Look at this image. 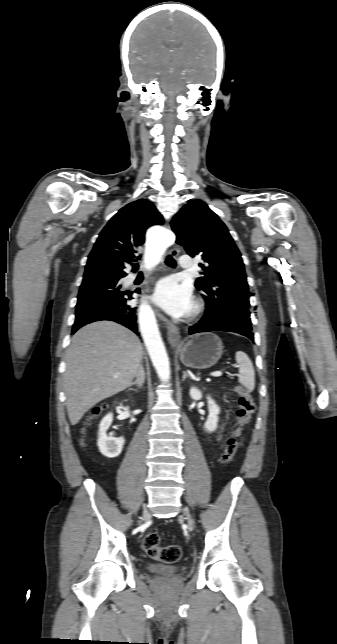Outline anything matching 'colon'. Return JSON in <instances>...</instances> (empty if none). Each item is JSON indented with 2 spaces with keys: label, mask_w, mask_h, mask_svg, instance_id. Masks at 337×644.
<instances>
[{
  "label": "colon",
  "mask_w": 337,
  "mask_h": 644,
  "mask_svg": "<svg viewBox=\"0 0 337 644\" xmlns=\"http://www.w3.org/2000/svg\"><path fill=\"white\" fill-rule=\"evenodd\" d=\"M235 391L238 395V408L236 410V422L234 423L230 437L227 439L225 448L221 455V462L229 464L232 462L238 447V438L244 426L250 420L255 411V403L250 393L242 386H237ZM105 406L97 407L93 410L89 420L100 416L105 410ZM84 444L85 441L82 440ZM145 552L153 559L164 563H175L182 555V549L178 545L160 546V536L156 532L148 533L143 540Z\"/></svg>",
  "instance_id": "5ec220e1"
}]
</instances>
